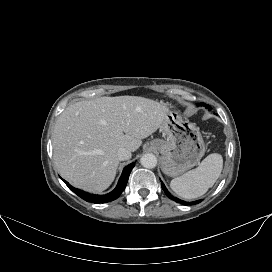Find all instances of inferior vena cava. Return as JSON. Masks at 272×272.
I'll list each match as a JSON object with an SVG mask.
<instances>
[{
    "mask_svg": "<svg viewBox=\"0 0 272 272\" xmlns=\"http://www.w3.org/2000/svg\"><path fill=\"white\" fill-rule=\"evenodd\" d=\"M117 157L121 161L128 160L131 158V151L127 148L121 147L117 151Z\"/></svg>",
    "mask_w": 272,
    "mask_h": 272,
    "instance_id": "602c4592",
    "label": "inferior vena cava"
}]
</instances>
